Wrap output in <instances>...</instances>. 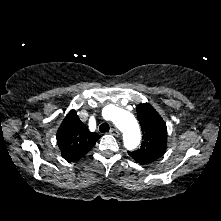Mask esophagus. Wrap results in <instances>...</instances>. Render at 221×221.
<instances>
[{
	"label": "esophagus",
	"instance_id": "obj_1",
	"mask_svg": "<svg viewBox=\"0 0 221 221\" xmlns=\"http://www.w3.org/2000/svg\"><path fill=\"white\" fill-rule=\"evenodd\" d=\"M110 134H112L115 137H118L120 135L119 131L115 128L110 130Z\"/></svg>",
	"mask_w": 221,
	"mask_h": 221
}]
</instances>
